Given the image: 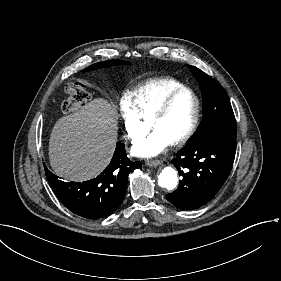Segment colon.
Here are the masks:
<instances>
[{
  "label": "colon",
  "instance_id": "1",
  "mask_svg": "<svg viewBox=\"0 0 281 281\" xmlns=\"http://www.w3.org/2000/svg\"><path fill=\"white\" fill-rule=\"evenodd\" d=\"M90 101V93L78 83H70L66 86V99L62 103L65 114H72L85 107Z\"/></svg>",
  "mask_w": 281,
  "mask_h": 281
}]
</instances>
